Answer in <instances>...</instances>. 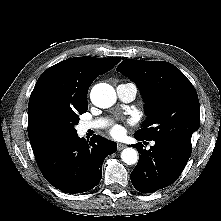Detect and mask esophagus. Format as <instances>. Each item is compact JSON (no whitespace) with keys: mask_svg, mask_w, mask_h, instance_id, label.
I'll return each instance as SVG.
<instances>
[{"mask_svg":"<svg viewBox=\"0 0 221 221\" xmlns=\"http://www.w3.org/2000/svg\"><path fill=\"white\" fill-rule=\"evenodd\" d=\"M126 147V145L125 144H122V143H118L117 144V149L120 151V150H122V149H124Z\"/></svg>","mask_w":221,"mask_h":221,"instance_id":"1","label":"esophagus"}]
</instances>
